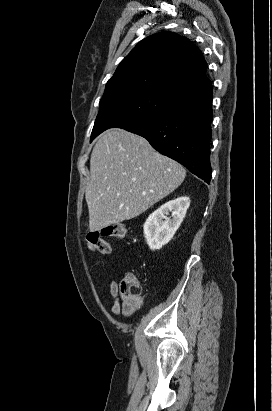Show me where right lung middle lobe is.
I'll return each instance as SVG.
<instances>
[{
	"label": "right lung middle lobe",
	"mask_w": 272,
	"mask_h": 411,
	"mask_svg": "<svg viewBox=\"0 0 272 411\" xmlns=\"http://www.w3.org/2000/svg\"><path fill=\"white\" fill-rule=\"evenodd\" d=\"M177 106V101L165 99L146 89L104 93L91 140L108 128L127 129L165 114Z\"/></svg>",
	"instance_id": "obj_1"
}]
</instances>
